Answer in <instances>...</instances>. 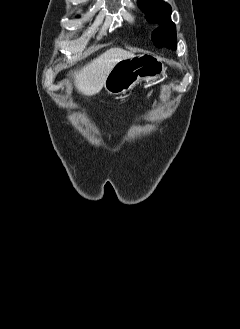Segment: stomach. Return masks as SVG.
Returning a JSON list of instances; mask_svg holds the SVG:
<instances>
[{
    "instance_id": "0dacf381",
    "label": "stomach",
    "mask_w": 240,
    "mask_h": 329,
    "mask_svg": "<svg viewBox=\"0 0 240 329\" xmlns=\"http://www.w3.org/2000/svg\"><path fill=\"white\" fill-rule=\"evenodd\" d=\"M166 67L154 54H140L123 59L115 64L104 83V88L111 95L125 94L140 81H150L164 74Z\"/></svg>"
}]
</instances>
